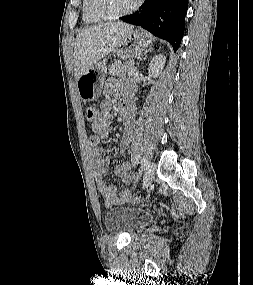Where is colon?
<instances>
[{"label": "colon", "instance_id": "1", "mask_svg": "<svg viewBox=\"0 0 253 285\" xmlns=\"http://www.w3.org/2000/svg\"><path fill=\"white\" fill-rule=\"evenodd\" d=\"M95 114H96V110L93 107H88L86 110V119L88 121H92L95 118ZM124 197L126 198V200H131V201H135V202H144V201H148L149 198H141L138 197L137 195L125 190L123 192Z\"/></svg>", "mask_w": 253, "mask_h": 285}]
</instances>
